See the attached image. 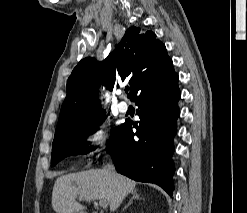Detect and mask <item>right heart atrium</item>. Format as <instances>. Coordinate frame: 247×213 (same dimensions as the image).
Masks as SVG:
<instances>
[{
  "mask_svg": "<svg viewBox=\"0 0 247 213\" xmlns=\"http://www.w3.org/2000/svg\"><path fill=\"white\" fill-rule=\"evenodd\" d=\"M107 132L103 126H91L82 135V151L86 157H92L105 145Z\"/></svg>",
  "mask_w": 247,
  "mask_h": 213,
  "instance_id": "d8ad5b80",
  "label": "right heart atrium"
}]
</instances>
